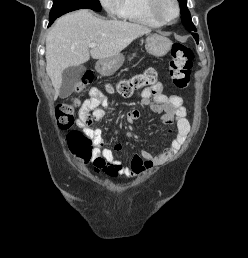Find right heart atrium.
Masks as SVG:
<instances>
[{
	"label": "right heart atrium",
	"instance_id": "right-heart-atrium-1",
	"mask_svg": "<svg viewBox=\"0 0 248 258\" xmlns=\"http://www.w3.org/2000/svg\"><path fill=\"white\" fill-rule=\"evenodd\" d=\"M108 15L120 16L123 7V0H99Z\"/></svg>",
	"mask_w": 248,
	"mask_h": 258
}]
</instances>
